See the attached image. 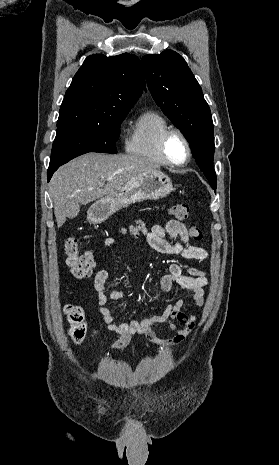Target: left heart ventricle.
<instances>
[{"label": "left heart ventricle", "mask_w": 279, "mask_h": 465, "mask_svg": "<svg viewBox=\"0 0 279 465\" xmlns=\"http://www.w3.org/2000/svg\"><path fill=\"white\" fill-rule=\"evenodd\" d=\"M169 157L176 163L183 162L187 156V149L178 135H173L167 143Z\"/></svg>", "instance_id": "1"}]
</instances>
